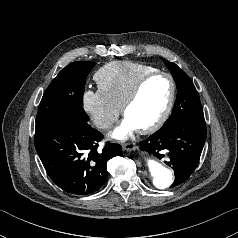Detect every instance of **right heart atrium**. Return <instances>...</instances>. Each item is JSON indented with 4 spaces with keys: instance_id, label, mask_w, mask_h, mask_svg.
Masks as SVG:
<instances>
[{
    "instance_id": "obj_1",
    "label": "right heart atrium",
    "mask_w": 238,
    "mask_h": 238,
    "mask_svg": "<svg viewBox=\"0 0 238 238\" xmlns=\"http://www.w3.org/2000/svg\"><path fill=\"white\" fill-rule=\"evenodd\" d=\"M82 106L94 125L101 129H109L117 120L119 108L113 105L99 90H86L82 97Z\"/></svg>"
}]
</instances>
